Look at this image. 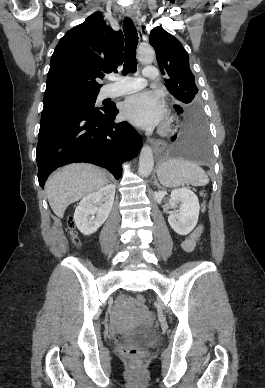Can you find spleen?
<instances>
[{
  "label": "spleen",
  "mask_w": 265,
  "mask_h": 388,
  "mask_svg": "<svg viewBox=\"0 0 265 388\" xmlns=\"http://www.w3.org/2000/svg\"><path fill=\"white\" fill-rule=\"evenodd\" d=\"M157 176L160 184L165 188H177L181 184H190V186H206L209 182L204 170L184 158H171L163 162L157 170Z\"/></svg>",
  "instance_id": "spleen-1"
}]
</instances>
